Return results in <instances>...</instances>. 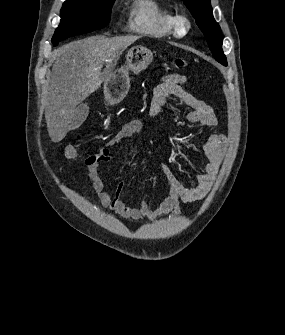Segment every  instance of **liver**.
<instances>
[{
	"label": "liver",
	"instance_id": "liver-1",
	"mask_svg": "<svg viewBox=\"0 0 285 335\" xmlns=\"http://www.w3.org/2000/svg\"><path fill=\"white\" fill-rule=\"evenodd\" d=\"M141 36H92L71 42L54 52L51 86L47 92L45 118L51 142H61L72 122L76 106L100 88L101 74L116 66L122 52Z\"/></svg>",
	"mask_w": 285,
	"mask_h": 335
}]
</instances>
